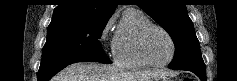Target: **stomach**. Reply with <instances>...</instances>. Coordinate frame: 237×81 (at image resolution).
I'll list each match as a JSON object with an SVG mask.
<instances>
[{
	"label": "stomach",
	"mask_w": 237,
	"mask_h": 81,
	"mask_svg": "<svg viewBox=\"0 0 237 81\" xmlns=\"http://www.w3.org/2000/svg\"><path fill=\"white\" fill-rule=\"evenodd\" d=\"M151 81H171V79L168 76H160V77L153 79Z\"/></svg>",
	"instance_id": "1"
}]
</instances>
